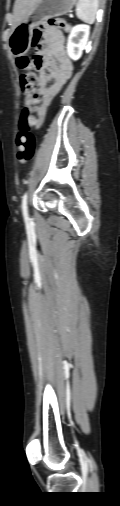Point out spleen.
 I'll return each instance as SVG.
<instances>
[{"label":"spleen","instance_id":"spleen-1","mask_svg":"<svg viewBox=\"0 0 120 506\" xmlns=\"http://www.w3.org/2000/svg\"><path fill=\"white\" fill-rule=\"evenodd\" d=\"M98 9V0H78L76 6L77 17L87 23H93Z\"/></svg>","mask_w":120,"mask_h":506}]
</instances>
